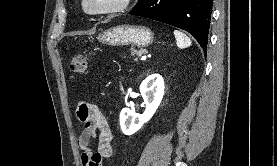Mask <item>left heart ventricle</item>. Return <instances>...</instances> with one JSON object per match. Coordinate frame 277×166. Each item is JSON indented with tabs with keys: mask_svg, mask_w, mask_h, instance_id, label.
Returning <instances> with one entry per match:
<instances>
[{
	"mask_svg": "<svg viewBox=\"0 0 277 166\" xmlns=\"http://www.w3.org/2000/svg\"><path fill=\"white\" fill-rule=\"evenodd\" d=\"M114 0H89L88 2V6L90 8H97V7H100L102 5H105L107 3H110Z\"/></svg>",
	"mask_w": 277,
	"mask_h": 166,
	"instance_id": "left-heart-ventricle-1",
	"label": "left heart ventricle"
}]
</instances>
